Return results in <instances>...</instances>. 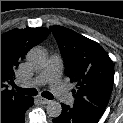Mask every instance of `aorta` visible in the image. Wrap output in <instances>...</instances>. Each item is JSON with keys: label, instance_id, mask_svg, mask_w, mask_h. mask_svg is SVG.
<instances>
[{"label": "aorta", "instance_id": "aorta-1", "mask_svg": "<svg viewBox=\"0 0 123 123\" xmlns=\"http://www.w3.org/2000/svg\"><path fill=\"white\" fill-rule=\"evenodd\" d=\"M27 64L34 69H41L46 65L47 56L44 51L38 48L31 49L26 55ZM47 114L57 118L61 115L62 107L57 101H50L46 106Z\"/></svg>", "mask_w": 123, "mask_h": 123}]
</instances>
